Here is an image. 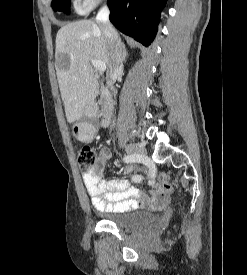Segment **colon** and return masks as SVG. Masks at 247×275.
<instances>
[{"instance_id": "colon-1", "label": "colon", "mask_w": 247, "mask_h": 275, "mask_svg": "<svg viewBox=\"0 0 247 275\" xmlns=\"http://www.w3.org/2000/svg\"><path fill=\"white\" fill-rule=\"evenodd\" d=\"M96 162V155L94 150L89 146L82 147L78 152V166L82 172H88ZM159 180L169 191H173V187L169 182L168 175H161Z\"/></svg>"}]
</instances>
